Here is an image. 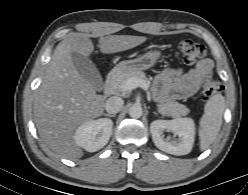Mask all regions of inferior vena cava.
<instances>
[{
    "mask_svg": "<svg viewBox=\"0 0 248 195\" xmlns=\"http://www.w3.org/2000/svg\"><path fill=\"white\" fill-rule=\"evenodd\" d=\"M124 101L122 98L112 96L106 100L105 109L110 114L118 113L123 107Z\"/></svg>",
    "mask_w": 248,
    "mask_h": 195,
    "instance_id": "obj_1",
    "label": "inferior vena cava"
}]
</instances>
